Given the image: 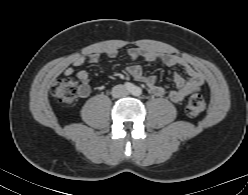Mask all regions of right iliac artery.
Returning <instances> with one entry per match:
<instances>
[{
  "label": "right iliac artery",
  "instance_id": "1",
  "mask_svg": "<svg viewBox=\"0 0 248 195\" xmlns=\"http://www.w3.org/2000/svg\"><path fill=\"white\" fill-rule=\"evenodd\" d=\"M124 87L130 92L134 91L136 88L135 85L130 82H125Z\"/></svg>",
  "mask_w": 248,
  "mask_h": 195
}]
</instances>
